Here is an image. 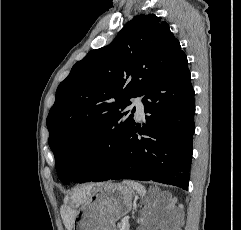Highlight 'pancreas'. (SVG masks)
<instances>
[{"instance_id": "cf45deb5", "label": "pancreas", "mask_w": 241, "mask_h": 230, "mask_svg": "<svg viewBox=\"0 0 241 230\" xmlns=\"http://www.w3.org/2000/svg\"><path fill=\"white\" fill-rule=\"evenodd\" d=\"M118 230H129V225H122V226H120L119 227V229Z\"/></svg>"}]
</instances>
